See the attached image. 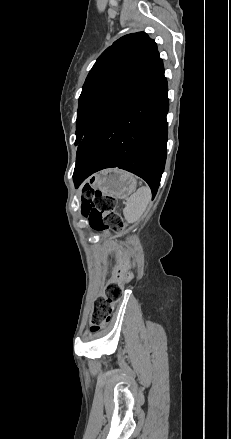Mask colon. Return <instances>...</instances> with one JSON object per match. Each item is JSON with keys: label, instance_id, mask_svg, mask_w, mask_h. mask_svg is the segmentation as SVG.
Segmentation results:
<instances>
[{"label": "colon", "instance_id": "1", "mask_svg": "<svg viewBox=\"0 0 231 439\" xmlns=\"http://www.w3.org/2000/svg\"><path fill=\"white\" fill-rule=\"evenodd\" d=\"M81 210L89 218L90 226L97 231L117 230L123 226L121 216L116 212L117 200L97 190L84 186L81 190ZM122 285L118 281L108 282L102 295L94 303L91 318L93 331H98L109 322L114 304L121 298Z\"/></svg>", "mask_w": 231, "mask_h": 439}]
</instances>
